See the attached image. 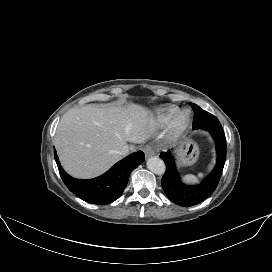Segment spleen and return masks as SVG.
Wrapping results in <instances>:
<instances>
[{"label":"spleen","mask_w":272,"mask_h":272,"mask_svg":"<svg viewBox=\"0 0 272 272\" xmlns=\"http://www.w3.org/2000/svg\"><path fill=\"white\" fill-rule=\"evenodd\" d=\"M201 175V174H200ZM184 179L187 181V182H195L196 181V177L192 174H188L184 177Z\"/></svg>","instance_id":"3e777b00"}]
</instances>
